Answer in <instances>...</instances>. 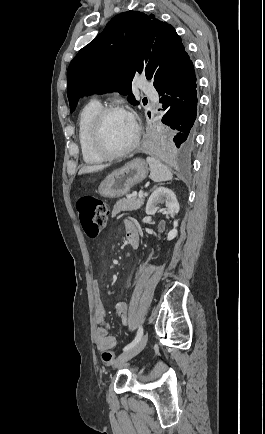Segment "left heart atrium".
I'll return each instance as SVG.
<instances>
[{"label":"left heart atrium","instance_id":"1","mask_svg":"<svg viewBox=\"0 0 265 434\" xmlns=\"http://www.w3.org/2000/svg\"><path fill=\"white\" fill-rule=\"evenodd\" d=\"M126 115H127L128 119H129L130 123H131L134 127H136L135 120H134L132 114H131V113H126Z\"/></svg>","mask_w":265,"mask_h":434}]
</instances>
